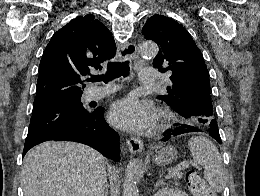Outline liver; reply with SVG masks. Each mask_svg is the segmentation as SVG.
<instances>
[{
  "label": "liver",
  "instance_id": "liver-1",
  "mask_svg": "<svg viewBox=\"0 0 260 196\" xmlns=\"http://www.w3.org/2000/svg\"><path fill=\"white\" fill-rule=\"evenodd\" d=\"M106 158L75 142H43L27 152L21 170L24 196L105 194Z\"/></svg>",
  "mask_w": 260,
  "mask_h": 196
}]
</instances>
